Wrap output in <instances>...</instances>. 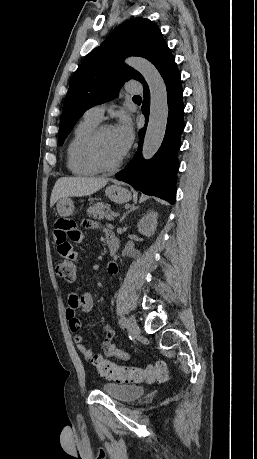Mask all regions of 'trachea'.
<instances>
[{
    "mask_svg": "<svg viewBox=\"0 0 257 459\" xmlns=\"http://www.w3.org/2000/svg\"><path fill=\"white\" fill-rule=\"evenodd\" d=\"M134 98H140V96H134Z\"/></svg>",
    "mask_w": 257,
    "mask_h": 459,
    "instance_id": "1",
    "label": "trachea"
}]
</instances>
